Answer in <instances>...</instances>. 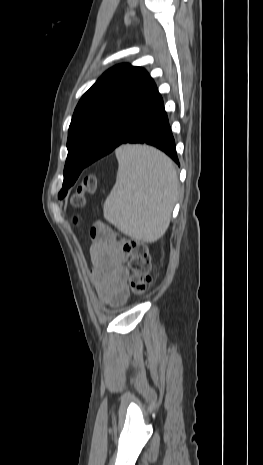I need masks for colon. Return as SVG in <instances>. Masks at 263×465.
Segmentation results:
<instances>
[{"label":"colon","instance_id":"obj_1","mask_svg":"<svg viewBox=\"0 0 263 465\" xmlns=\"http://www.w3.org/2000/svg\"><path fill=\"white\" fill-rule=\"evenodd\" d=\"M98 186L99 181L96 175H86L71 198L72 205L77 208L84 206L86 195L95 193ZM75 222L77 223V219H75ZM121 252L129 259L128 264L131 270L129 286L132 293L143 295L150 282L151 271V261L147 246L140 241L126 239L122 242Z\"/></svg>","mask_w":263,"mask_h":465}]
</instances>
